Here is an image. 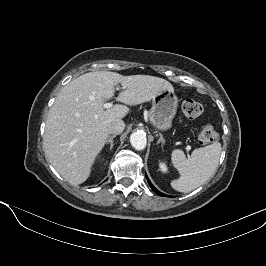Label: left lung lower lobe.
Returning <instances> with one entry per match:
<instances>
[{"label":"left lung lower lobe","mask_w":266,"mask_h":266,"mask_svg":"<svg viewBox=\"0 0 266 266\" xmlns=\"http://www.w3.org/2000/svg\"><path fill=\"white\" fill-rule=\"evenodd\" d=\"M145 175H146V174H145ZM146 178H147V181H148L150 187L152 188V190H153L155 193H157V194L160 195V196H165V194H163V193H161L160 191H158V190L152 185V183H151L150 180L148 179L147 175H146ZM168 197H169V196H168Z\"/></svg>","instance_id":"0a47b994"}]
</instances>
